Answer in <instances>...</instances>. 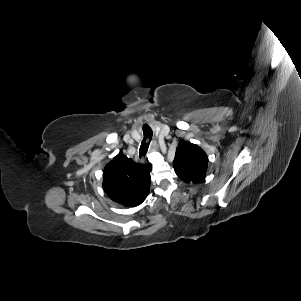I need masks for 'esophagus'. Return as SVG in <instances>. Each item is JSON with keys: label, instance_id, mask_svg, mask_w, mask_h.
<instances>
[{"label": "esophagus", "instance_id": "esophagus-1", "mask_svg": "<svg viewBox=\"0 0 301 301\" xmlns=\"http://www.w3.org/2000/svg\"><path fill=\"white\" fill-rule=\"evenodd\" d=\"M149 148H150L151 150H157V149H158V144H157V142L152 141V142L150 143V145H149Z\"/></svg>", "mask_w": 301, "mask_h": 301}]
</instances>
